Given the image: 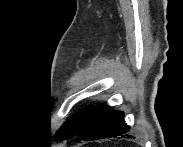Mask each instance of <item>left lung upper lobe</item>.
I'll list each match as a JSON object with an SVG mask.
<instances>
[{
  "label": "left lung upper lobe",
  "instance_id": "5c2ea615",
  "mask_svg": "<svg viewBox=\"0 0 183 147\" xmlns=\"http://www.w3.org/2000/svg\"><path fill=\"white\" fill-rule=\"evenodd\" d=\"M93 107H88L68 119L56 133V140L73 138L88 117Z\"/></svg>",
  "mask_w": 183,
  "mask_h": 147
}]
</instances>
